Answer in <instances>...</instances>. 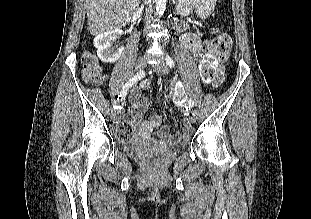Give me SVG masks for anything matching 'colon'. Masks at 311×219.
<instances>
[{"instance_id": "colon-1", "label": "colon", "mask_w": 311, "mask_h": 219, "mask_svg": "<svg viewBox=\"0 0 311 219\" xmlns=\"http://www.w3.org/2000/svg\"><path fill=\"white\" fill-rule=\"evenodd\" d=\"M207 52L202 59L200 66V74L205 82L212 81L217 75L223 77V70L219 66L229 57L232 48V39L228 33L221 32L216 34L206 45ZM83 74L86 81L98 84L103 81L104 74L102 73L96 58L86 52L82 58ZM122 140H128L129 136H121ZM161 155L155 153L153 162L160 160Z\"/></svg>"}]
</instances>
